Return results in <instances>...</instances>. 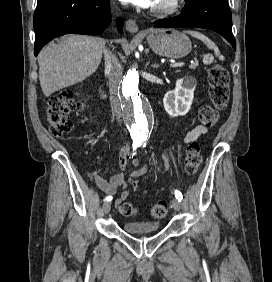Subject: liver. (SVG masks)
Returning <instances> with one entry per match:
<instances>
[{
	"label": "liver",
	"instance_id": "obj_1",
	"mask_svg": "<svg viewBox=\"0 0 272 282\" xmlns=\"http://www.w3.org/2000/svg\"><path fill=\"white\" fill-rule=\"evenodd\" d=\"M105 40L86 35H68L45 46L38 55L39 81L46 97L79 83L98 68Z\"/></svg>",
	"mask_w": 272,
	"mask_h": 282
}]
</instances>
